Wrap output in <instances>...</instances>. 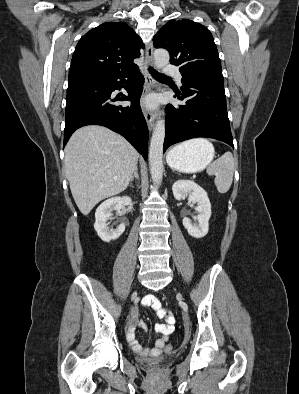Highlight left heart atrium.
<instances>
[{"label": "left heart atrium", "instance_id": "obj_1", "mask_svg": "<svg viewBox=\"0 0 299 394\" xmlns=\"http://www.w3.org/2000/svg\"><path fill=\"white\" fill-rule=\"evenodd\" d=\"M158 103V99L156 96H151L146 100V104L150 107L156 106Z\"/></svg>", "mask_w": 299, "mask_h": 394}]
</instances>
